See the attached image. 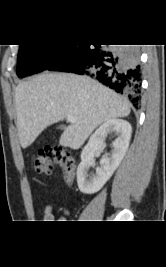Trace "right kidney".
Listing matches in <instances>:
<instances>
[{
  "label": "right kidney",
  "mask_w": 166,
  "mask_h": 267,
  "mask_svg": "<svg viewBox=\"0 0 166 267\" xmlns=\"http://www.w3.org/2000/svg\"><path fill=\"white\" fill-rule=\"evenodd\" d=\"M110 132H115L117 135L111 144L113 148L111 155L104 156L100 160V167L96 169V174L90 176L88 171L94 165L95 154L102 151L105 138ZM131 133L130 123L122 119L108 120L94 132L81 152V162L77 168V184L82 193L93 194L110 179L126 154Z\"/></svg>",
  "instance_id": "ca27d5eb"
}]
</instances>
